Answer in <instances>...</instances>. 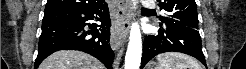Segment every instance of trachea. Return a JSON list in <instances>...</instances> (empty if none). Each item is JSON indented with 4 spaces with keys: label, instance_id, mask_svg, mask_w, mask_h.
<instances>
[{
    "label": "trachea",
    "instance_id": "obj_1",
    "mask_svg": "<svg viewBox=\"0 0 246 69\" xmlns=\"http://www.w3.org/2000/svg\"><path fill=\"white\" fill-rule=\"evenodd\" d=\"M143 10H146V11H152V10H148V9H145V8H143Z\"/></svg>",
    "mask_w": 246,
    "mask_h": 69
}]
</instances>
